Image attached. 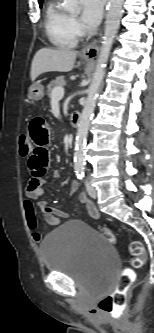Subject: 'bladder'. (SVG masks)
I'll return each instance as SVG.
<instances>
[{
	"mask_svg": "<svg viewBox=\"0 0 154 333\" xmlns=\"http://www.w3.org/2000/svg\"><path fill=\"white\" fill-rule=\"evenodd\" d=\"M40 252L46 270L65 274L82 287L106 292L115 279V249L85 222L71 220L53 229Z\"/></svg>",
	"mask_w": 154,
	"mask_h": 333,
	"instance_id": "bladder-1",
	"label": "bladder"
}]
</instances>
